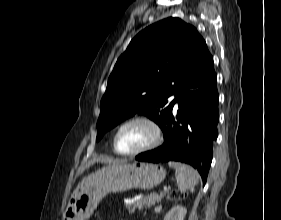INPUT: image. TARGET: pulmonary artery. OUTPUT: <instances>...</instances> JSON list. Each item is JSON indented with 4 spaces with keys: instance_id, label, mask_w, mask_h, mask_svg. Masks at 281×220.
I'll return each instance as SVG.
<instances>
[{
    "instance_id": "e3ab8cb5",
    "label": "pulmonary artery",
    "mask_w": 281,
    "mask_h": 220,
    "mask_svg": "<svg viewBox=\"0 0 281 220\" xmlns=\"http://www.w3.org/2000/svg\"><path fill=\"white\" fill-rule=\"evenodd\" d=\"M171 99H175V97L172 96ZM177 107H178V103L175 104V108H177Z\"/></svg>"
}]
</instances>
